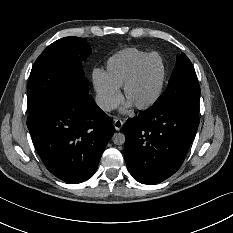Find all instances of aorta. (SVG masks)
Instances as JSON below:
<instances>
[{
    "label": "aorta",
    "instance_id": "obj_1",
    "mask_svg": "<svg viewBox=\"0 0 233 233\" xmlns=\"http://www.w3.org/2000/svg\"><path fill=\"white\" fill-rule=\"evenodd\" d=\"M112 141L116 145H123L125 143V135L122 133H114Z\"/></svg>",
    "mask_w": 233,
    "mask_h": 233
}]
</instances>
